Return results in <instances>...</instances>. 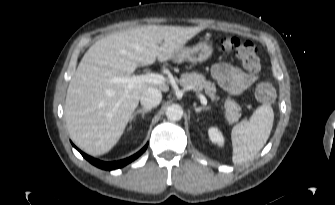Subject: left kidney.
Wrapping results in <instances>:
<instances>
[{
  "instance_id": "5707ae66",
  "label": "left kidney",
  "mask_w": 335,
  "mask_h": 205,
  "mask_svg": "<svg viewBox=\"0 0 335 205\" xmlns=\"http://www.w3.org/2000/svg\"><path fill=\"white\" fill-rule=\"evenodd\" d=\"M208 135H209V139L215 143L218 144L219 146H223L224 145V137L222 132L217 128V127H210L208 129Z\"/></svg>"
}]
</instances>
